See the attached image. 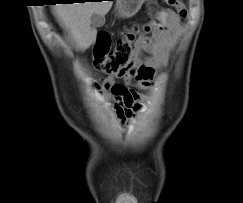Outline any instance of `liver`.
I'll list each match as a JSON object with an SVG mask.
<instances>
[{
  "label": "liver",
  "instance_id": "obj_1",
  "mask_svg": "<svg viewBox=\"0 0 243 203\" xmlns=\"http://www.w3.org/2000/svg\"><path fill=\"white\" fill-rule=\"evenodd\" d=\"M112 4V1L60 4L54 8V13L69 32L76 47L84 51L97 37L96 29L91 27L92 14L105 15Z\"/></svg>",
  "mask_w": 243,
  "mask_h": 203
}]
</instances>
